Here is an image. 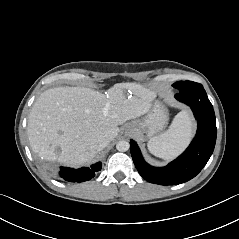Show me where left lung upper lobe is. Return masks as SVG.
Here are the masks:
<instances>
[{"mask_svg":"<svg viewBox=\"0 0 239 239\" xmlns=\"http://www.w3.org/2000/svg\"><path fill=\"white\" fill-rule=\"evenodd\" d=\"M173 87L178 89L179 92H186V91H190L192 89L200 88V87H203V86L199 83H195V82H192V81H178V82L173 84Z\"/></svg>","mask_w":239,"mask_h":239,"instance_id":"left-lung-upper-lobe-1","label":"left lung upper lobe"}]
</instances>
